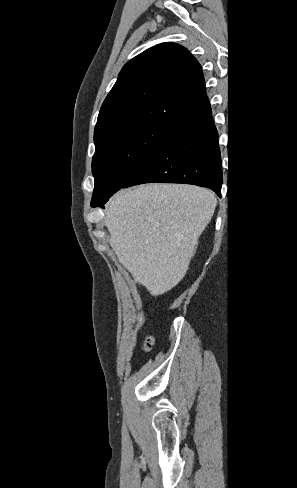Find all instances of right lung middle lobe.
<instances>
[{
  "label": "right lung middle lobe",
  "mask_w": 297,
  "mask_h": 488,
  "mask_svg": "<svg viewBox=\"0 0 297 488\" xmlns=\"http://www.w3.org/2000/svg\"><path fill=\"white\" fill-rule=\"evenodd\" d=\"M170 128L138 126L95 144L92 172L95 178L91 206L103 205L134 175Z\"/></svg>",
  "instance_id": "dd1d6c3e"
}]
</instances>
